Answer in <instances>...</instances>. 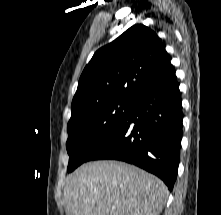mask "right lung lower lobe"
<instances>
[{
	"mask_svg": "<svg viewBox=\"0 0 221 215\" xmlns=\"http://www.w3.org/2000/svg\"><path fill=\"white\" fill-rule=\"evenodd\" d=\"M182 120V100L174 75L140 94L87 161L113 159L134 164L158 176L171 191L178 172Z\"/></svg>",
	"mask_w": 221,
	"mask_h": 215,
	"instance_id": "1",
	"label": "right lung lower lobe"
}]
</instances>
